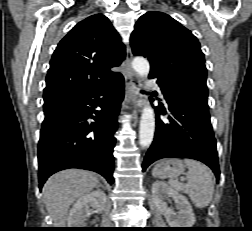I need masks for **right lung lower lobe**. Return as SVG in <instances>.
Wrapping results in <instances>:
<instances>
[{"mask_svg": "<svg viewBox=\"0 0 252 231\" xmlns=\"http://www.w3.org/2000/svg\"><path fill=\"white\" fill-rule=\"evenodd\" d=\"M102 95L104 98H100ZM123 97L121 77L105 86L79 92L45 114L38 145L40 190L49 176L68 168L95 171L110 184L114 182V134ZM97 106L100 111L94 109ZM90 118L95 123H90Z\"/></svg>", "mask_w": 252, "mask_h": 231, "instance_id": "obj_1", "label": "right lung lower lobe"}]
</instances>
